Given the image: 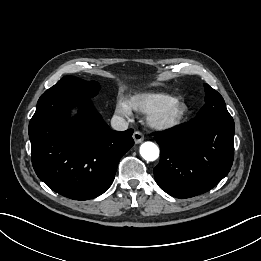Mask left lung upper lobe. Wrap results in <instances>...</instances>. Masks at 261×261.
<instances>
[{
  "instance_id": "5c2ea615",
  "label": "left lung upper lobe",
  "mask_w": 261,
  "mask_h": 261,
  "mask_svg": "<svg viewBox=\"0 0 261 261\" xmlns=\"http://www.w3.org/2000/svg\"><path fill=\"white\" fill-rule=\"evenodd\" d=\"M205 104L193 120L232 119L222 96L208 84H205Z\"/></svg>"
}]
</instances>
